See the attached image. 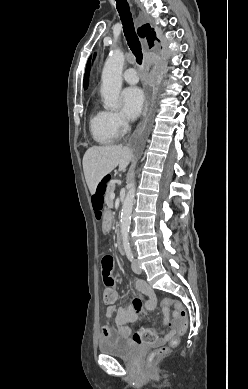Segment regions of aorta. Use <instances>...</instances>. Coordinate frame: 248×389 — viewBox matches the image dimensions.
Returning <instances> with one entry per match:
<instances>
[{
  "label": "aorta",
  "mask_w": 248,
  "mask_h": 389,
  "mask_svg": "<svg viewBox=\"0 0 248 389\" xmlns=\"http://www.w3.org/2000/svg\"><path fill=\"white\" fill-rule=\"evenodd\" d=\"M124 53L115 49L107 58L102 71L101 96L104 108L115 110L119 107V97L122 87V70L124 65ZM135 197V183L129 185V190L123 202L121 211V236L123 246L129 247V229L131 224L132 206Z\"/></svg>",
  "instance_id": "1"
}]
</instances>
